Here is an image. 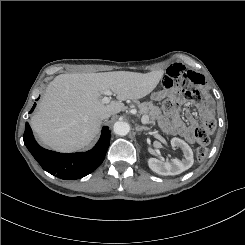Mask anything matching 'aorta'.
Here are the masks:
<instances>
[{"label": "aorta", "mask_w": 245, "mask_h": 245, "mask_svg": "<svg viewBox=\"0 0 245 245\" xmlns=\"http://www.w3.org/2000/svg\"><path fill=\"white\" fill-rule=\"evenodd\" d=\"M130 126L127 122L117 121L113 126V132L120 136H125L129 133Z\"/></svg>", "instance_id": "obj_1"}]
</instances>
